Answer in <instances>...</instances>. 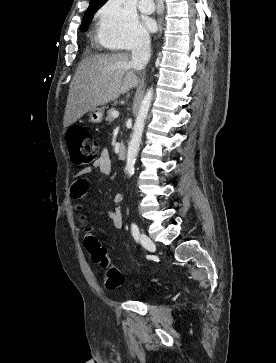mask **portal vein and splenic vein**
<instances>
[{"instance_id":"1","label":"portal vein and splenic vein","mask_w":276,"mask_h":363,"mask_svg":"<svg viewBox=\"0 0 276 363\" xmlns=\"http://www.w3.org/2000/svg\"><path fill=\"white\" fill-rule=\"evenodd\" d=\"M118 116H119L118 111H113V112H112V117H113V118H117Z\"/></svg>"}]
</instances>
